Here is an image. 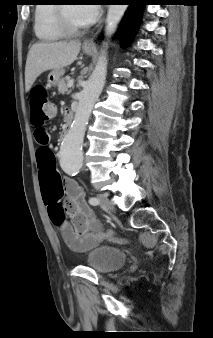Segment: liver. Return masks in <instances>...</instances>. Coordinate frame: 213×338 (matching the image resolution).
<instances>
[{
	"label": "liver",
	"instance_id": "1",
	"mask_svg": "<svg viewBox=\"0 0 213 338\" xmlns=\"http://www.w3.org/2000/svg\"><path fill=\"white\" fill-rule=\"evenodd\" d=\"M80 41L40 42L34 44L27 55L25 90L28 92L38 76L48 70L71 65L80 52Z\"/></svg>",
	"mask_w": 213,
	"mask_h": 338
}]
</instances>
